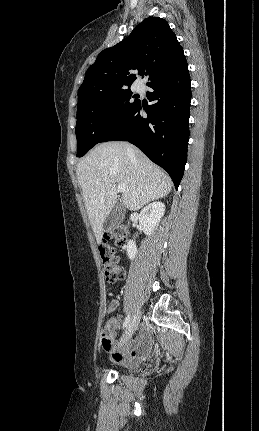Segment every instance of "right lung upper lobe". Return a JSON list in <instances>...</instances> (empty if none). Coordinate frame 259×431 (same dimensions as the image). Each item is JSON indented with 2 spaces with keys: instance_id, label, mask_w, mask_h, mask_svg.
I'll return each instance as SVG.
<instances>
[{
  "instance_id": "1",
  "label": "right lung upper lobe",
  "mask_w": 259,
  "mask_h": 431,
  "mask_svg": "<svg viewBox=\"0 0 259 431\" xmlns=\"http://www.w3.org/2000/svg\"><path fill=\"white\" fill-rule=\"evenodd\" d=\"M186 63L183 48L168 23L149 17L127 38L98 55L78 90V104L92 95L130 88L136 73L146 70L150 85Z\"/></svg>"
}]
</instances>
